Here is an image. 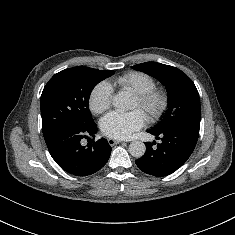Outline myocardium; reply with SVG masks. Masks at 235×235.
<instances>
[{
	"label": "myocardium",
	"instance_id": "obj_1",
	"mask_svg": "<svg viewBox=\"0 0 235 235\" xmlns=\"http://www.w3.org/2000/svg\"><path fill=\"white\" fill-rule=\"evenodd\" d=\"M148 119L159 120L167 112L170 104L169 94L162 88L154 87L146 92L135 94Z\"/></svg>",
	"mask_w": 235,
	"mask_h": 235
}]
</instances>
